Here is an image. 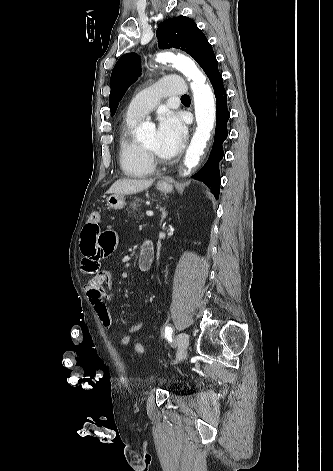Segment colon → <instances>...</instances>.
Returning <instances> with one entry per match:
<instances>
[{
	"label": "colon",
	"instance_id": "5ec220e1",
	"mask_svg": "<svg viewBox=\"0 0 333 471\" xmlns=\"http://www.w3.org/2000/svg\"><path fill=\"white\" fill-rule=\"evenodd\" d=\"M90 223L92 224H97L100 221V214L97 211H93L90 216L89 220ZM134 349L138 354H142L144 352V346L141 343H135L134 344Z\"/></svg>",
	"mask_w": 333,
	"mask_h": 471
}]
</instances>
